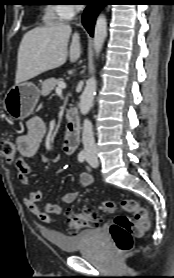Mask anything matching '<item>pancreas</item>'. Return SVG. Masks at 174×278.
Listing matches in <instances>:
<instances>
[{
  "instance_id": "cf45deb5",
  "label": "pancreas",
  "mask_w": 174,
  "mask_h": 278,
  "mask_svg": "<svg viewBox=\"0 0 174 278\" xmlns=\"http://www.w3.org/2000/svg\"><path fill=\"white\" fill-rule=\"evenodd\" d=\"M60 82H62L61 78H59V79L50 78V79L45 80L41 86V88H42V90L40 92L41 95L47 96L56 87V85H58Z\"/></svg>"
}]
</instances>
